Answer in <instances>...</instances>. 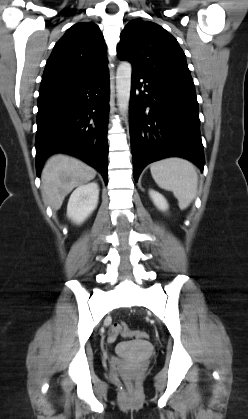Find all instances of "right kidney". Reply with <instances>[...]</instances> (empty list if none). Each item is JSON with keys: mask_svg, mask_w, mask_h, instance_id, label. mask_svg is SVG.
<instances>
[{"mask_svg": "<svg viewBox=\"0 0 248 419\" xmlns=\"http://www.w3.org/2000/svg\"><path fill=\"white\" fill-rule=\"evenodd\" d=\"M99 187L96 182L79 186L71 194L67 205V217L76 224L84 222L96 209Z\"/></svg>", "mask_w": 248, "mask_h": 419, "instance_id": "obj_1", "label": "right kidney"}]
</instances>
